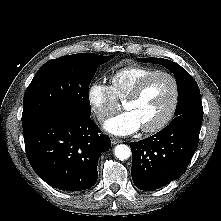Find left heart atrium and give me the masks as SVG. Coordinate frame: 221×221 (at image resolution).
I'll return each mask as SVG.
<instances>
[{
	"label": "left heart atrium",
	"mask_w": 221,
	"mask_h": 221,
	"mask_svg": "<svg viewBox=\"0 0 221 221\" xmlns=\"http://www.w3.org/2000/svg\"><path fill=\"white\" fill-rule=\"evenodd\" d=\"M141 128L139 120L131 111L116 115L104 124V129L112 135L126 136Z\"/></svg>",
	"instance_id": "39dd6f15"
}]
</instances>
